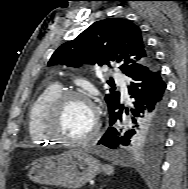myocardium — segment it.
Masks as SVG:
<instances>
[{
    "mask_svg": "<svg viewBox=\"0 0 188 189\" xmlns=\"http://www.w3.org/2000/svg\"><path fill=\"white\" fill-rule=\"evenodd\" d=\"M70 100H82L86 102L93 111L94 125L91 131L84 137L72 139L58 133L56 125L63 105ZM101 127V118L98 108L94 101L85 93L76 90H62L47 105L43 114L42 131L54 141L66 145H83L93 141L99 134Z\"/></svg>",
    "mask_w": 188,
    "mask_h": 189,
    "instance_id": "1",
    "label": "myocardium"
}]
</instances>
